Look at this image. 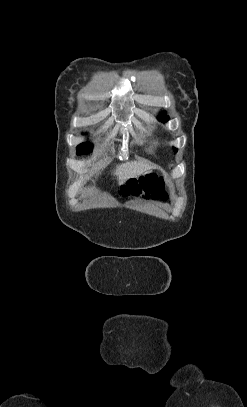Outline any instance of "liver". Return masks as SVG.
I'll return each mask as SVG.
<instances>
[{"label":"liver","instance_id":"liver-1","mask_svg":"<svg viewBox=\"0 0 247 407\" xmlns=\"http://www.w3.org/2000/svg\"><path fill=\"white\" fill-rule=\"evenodd\" d=\"M152 166L143 161H129L116 166L114 175L117 176L119 184H123L131 178H136Z\"/></svg>","mask_w":247,"mask_h":407}]
</instances>
